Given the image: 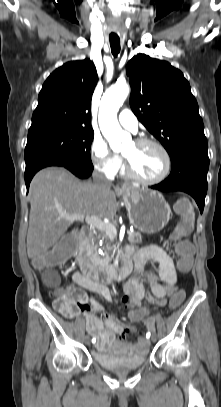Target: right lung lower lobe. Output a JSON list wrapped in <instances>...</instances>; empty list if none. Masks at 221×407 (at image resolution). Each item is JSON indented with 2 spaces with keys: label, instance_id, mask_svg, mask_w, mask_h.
Masks as SVG:
<instances>
[{
  "label": "right lung lower lobe",
  "instance_id": "1",
  "mask_svg": "<svg viewBox=\"0 0 221 407\" xmlns=\"http://www.w3.org/2000/svg\"><path fill=\"white\" fill-rule=\"evenodd\" d=\"M48 166H62L70 170L73 174L78 176L79 178H87L92 174V170L85 169L81 166H78L76 164H72L70 161L57 156L53 154H44V155H39L29 162L26 163V169H25V183L27 187V191L29 190V185L31 182V179L35 175L37 171H39L42 168L48 167Z\"/></svg>",
  "mask_w": 221,
  "mask_h": 407
}]
</instances>
